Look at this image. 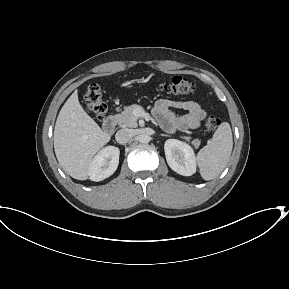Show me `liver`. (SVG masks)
Returning a JSON list of instances; mask_svg holds the SVG:
<instances>
[{"label":"liver","mask_w":289,"mask_h":289,"mask_svg":"<svg viewBox=\"0 0 289 289\" xmlns=\"http://www.w3.org/2000/svg\"><path fill=\"white\" fill-rule=\"evenodd\" d=\"M53 138L61 168L72 178L86 180L92 158L111 136L84 111L74 91L59 112Z\"/></svg>","instance_id":"6515ba94"}]
</instances>
